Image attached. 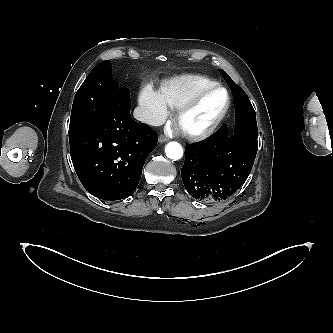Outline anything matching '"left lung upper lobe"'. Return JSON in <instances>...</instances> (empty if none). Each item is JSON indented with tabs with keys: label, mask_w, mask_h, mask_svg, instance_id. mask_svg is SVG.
<instances>
[{
	"label": "left lung upper lobe",
	"mask_w": 333,
	"mask_h": 333,
	"mask_svg": "<svg viewBox=\"0 0 333 333\" xmlns=\"http://www.w3.org/2000/svg\"><path fill=\"white\" fill-rule=\"evenodd\" d=\"M220 72L222 73L223 77L227 80L229 86L232 89L233 94L242 96L248 102V104H251L245 92L233 82V80L229 77V75L222 69H220Z\"/></svg>",
	"instance_id": "5c2ea615"
}]
</instances>
